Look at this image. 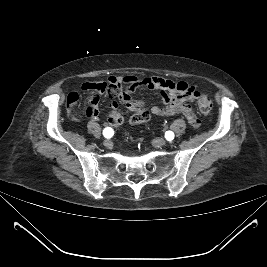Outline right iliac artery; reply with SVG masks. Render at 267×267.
I'll list each match as a JSON object with an SVG mask.
<instances>
[{"label":"right iliac artery","mask_w":267,"mask_h":267,"mask_svg":"<svg viewBox=\"0 0 267 267\" xmlns=\"http://www.w3.org/2000/svg\"><path fill=\"white\" fill-rule=\"evenodd\" d=\"M114 132L113 130L110 128V127H107L103 130V135L106 137V138H111L113 136Z\"/></svg>","instance_id":"1"}]
</instances>
